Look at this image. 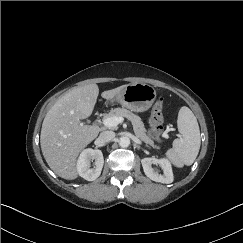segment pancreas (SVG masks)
Segmentation results:
<instances>
[{
    "label": "pancreas",
    "instance_id": "1",
    "mask_svg": "<svg viewBox=\"0 0 243 243\" xmlns=\"http://www.w3.org/2000/svg\"><path fill=\"white\" fill-rule=\"evenodd\" d=\"M114 116L125 117L128 120H130L132 122L135 135L146 144L155 147L154 141L147 136L144 123L142 122L141 118L138 115L134 114L133 112L125 108H115L111 110L107 114V116H105V118L114 117Z\"/></svg>",
    "mask_w": 243,
    "mask_h": 243
}]
</instances>
